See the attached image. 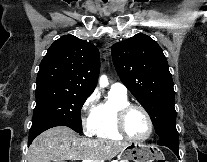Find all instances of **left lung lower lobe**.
Instances as JSON below:
<instances>
[{
    "label": "left lung lower lobe",
    "mask_w": 207,
    "mask_h": 162,
    "mask_svg": "<svg viewBox=\"0 0 207 162\" xmlns=\"http://www.w3.org/2000/svg\"><path fill=\"white\" fill-rule=\"evenodd\" d=\"M159 145L170 148L179 158V135L178 132H171L159 137Z\"/></svg>",
    "instance_id": "0a47b994"
}]
</instances>
